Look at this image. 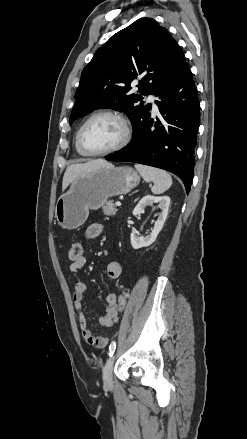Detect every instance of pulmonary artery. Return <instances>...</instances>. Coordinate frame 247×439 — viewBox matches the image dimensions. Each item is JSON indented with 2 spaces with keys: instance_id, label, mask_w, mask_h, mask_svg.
Masks as SVG:
<instances>
[{
  "instance_id": "e3ab8cb5",
  "label": "pulmonary artery",
  "mask_w": 247,
  "mask_h": 439,
  "mask_svg": "<svg viewBox=\"0 0 247 439\" xmlns=\"http://www.w3.org/2000/svg\"><path fill=\"white\" fill-rule=\"evenodd\" d=\"M148 102H150L152 104V110L155 114H157L159 112L158 106L155 102V97L153 95H149L147 98Z\"/></svg>"
}]
</instances>
